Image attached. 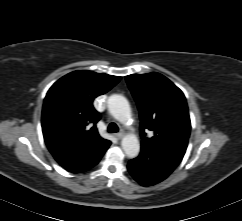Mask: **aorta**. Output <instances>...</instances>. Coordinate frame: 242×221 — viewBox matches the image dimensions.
<instances>
[{"mask_svg":"<svg viewBox=\"0 0 242 221\" xmlns=\"http://www.w3.org/2000/svg\"><path fill=\"white\" fill-rule=\"evenodd\" d=\"M110 114L119 122L127 123L131 118V108L128 100L119 94H113L108 99ZM122 149L128 158H135L140 151V143L136 135L127 134L123 137Z\"/></svg>","mask_w":242,"mask_h":221,"instance_id":"aorta-1","label":"aorta"}]
</instances>
